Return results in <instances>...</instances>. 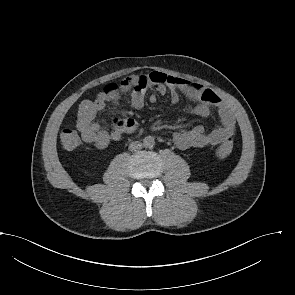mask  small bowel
I'll use <instances>...</instances> for the list:
<instances>
[{
	"label": "small bowel",
	"mask_w": 295,
	"mask_h": 295,
	"mask_svg": "<svg viewBox=\"0 0 295 295\" xmlns=\"http://www.w3.org/2000/svg\"><path fill=\"white\" fill-rule=\"evenodd\" d=\"M150 90V102L157 100V94L169 91L170 101L175 104L179 101V92L192 102L190 112L209 116L214 110L220 118V125L206 132L202 125L189 130H180L173 133V143L181 150L215 146L232 137L235 131V119L230 108L211 89L186 79L167 75L161 72H152L146 75H134L123 79L118 87L103 90L93 100H83L78 109L76 126L85 143L97 148H105L111 141H119L123 135L132 133L137 128L133 118H116L109 131L100 127L95 120L96 114L103 110L107 103L118 104L125 93H130L131 106L141 109L144 106L145 94Z\"/></svg>",
	"instance_id": "1"
}]
</instances>
